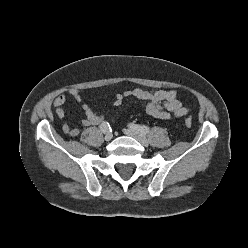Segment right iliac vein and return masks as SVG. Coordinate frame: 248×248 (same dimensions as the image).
Returning <instances> with one entry per match:
<instances>
[{"instance_id":"obj_1","label":"right iliac vein","mask_w":248,"mask_h":248,"mask_svg":"<svg viewBox=\"0 0 248 248\" xmlns=\"http://www.w3.org/2000/svg\"><path fill=\"white\" fill-rule=\"evenodd\" d=\"M112 137H113L112 133H107V134L105 135V140H106V141H110V140L112 139Z\"/></svg>"}]
</instances>
